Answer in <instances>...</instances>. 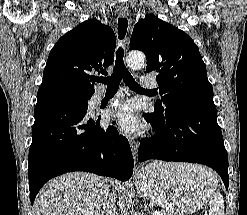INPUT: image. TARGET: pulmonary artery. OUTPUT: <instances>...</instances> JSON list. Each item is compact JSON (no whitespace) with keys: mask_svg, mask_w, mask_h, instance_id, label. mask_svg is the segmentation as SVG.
<instances>
[{"mask_svg":"<svg viewBox=\"0 0 247 215\" xmlns=\"http://www.w3.org/2000/svg\"><path fill=\"white\" fill-rule=\"evenodd\" d=\"M140 81H141V84L143 85V87H145V88L151 89V88H156L157 87V82L152 77L144 76V77H142L140 79ZM102 97H103V93L98 92V93L95 94L94 99L96 101H99V100L102 99Z\"/></svg>","mask_w":247,"mask_h":215,"instance_id":"pulmonary-artery-1","label":"pulmonary artery"}]
</instances>
